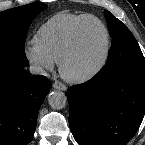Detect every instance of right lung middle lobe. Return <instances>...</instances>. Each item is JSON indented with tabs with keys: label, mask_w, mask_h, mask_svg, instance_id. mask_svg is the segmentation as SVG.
I'll use <instances>...</instances> for the list:
<instances>
[{
	"label": "right lung middle lobe",
	"mask_w": 145,
	"mask_h": 145,
	"mask_svg": "<svg viewBox=\"0 0 145 145\" xmlns=\"http://www.w3.org/2000/svg\"><path fill=\"white\" fill-rule=\"evenodd\" d=\"M46 7L37 2L0 12V73L29 65L24 48L27 31Z\"/></svg>",
	"instance_id": "obj_1"
}]
</instances>
